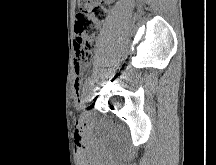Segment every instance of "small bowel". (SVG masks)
Here are the masks:
<instances>
[{
    "label": "small bowel",
    "instance_id": "c3829d8e",
    "mask_svg": "<svg viewBox=\"0 0 216 165\" xmlns=\"http://www.w3.org/2000/svg\"><path fill=\"white\" fill-rule=\"evenodd\" d=\"M75 71V90L77 93H81L82 91V65L77 61L74 66Z\"/></svg>",
    "mask_w": 216,
    "mask_h": 165
}]
</instances>
